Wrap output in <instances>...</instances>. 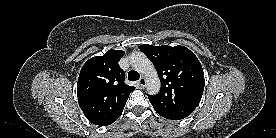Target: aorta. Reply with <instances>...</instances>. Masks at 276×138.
<instances>
[{
	"label": "aorta",
	"instance_id": "762f6f07",
	"mask_svg": "<svg viewBox=\"0 0 276 138\" xmlns=\"http://www.w3.org/2000/svg\"><path fill=\"white\" fill-rule=\"evenodd\" d=\"M130 64L146 78V88L148 94L155 95L159 92L161 83L157 70L148 57L142 52H135L130 55Z\"/></svg>",
	"mask_w": 276,
	"mask_h": 138
}]
</instances>
